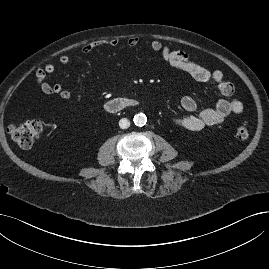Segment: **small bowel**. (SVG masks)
Segmentation results:
<instances>
[{
	"mask_svg": "<svg viewBox=\"0 0 269 269\" xmlns=\"http://www.w3.org/2000/svg\"><path fill=\"white\" fill-rule=\"evenodd\" d=\"M139 44L136 37H130L127 40V45L130 48H135ZM119 45L116 38L94 41L83 46L82 52L89 54L99 46H108L115 48ZM150 48L159 52L164 62L169 66L179 69L193 79L200 82H214L220 93L226 97H230L234 93V85L225 80L224 74L219 70L211 71L197 62L190 59L188 54L181 50H172L169 46L163 44L159 40H153L150 43ZM70 57L66 54L60 57V63L63 66L69 64ZM55 66L52 63L46 64L44 67L37 69L35 74L36 83L43 93L46 95H58L63 99H68L74 96L77 100L83 101L87 97L81 93H73L70 89L61 84H51L47 81L48 76L53 74ZM181 108L186 112H191L196 108V101L192 96H185L180 102ZM244 110L243 103L238 99L223 98L217 101L214 107L205 109L197 115H189L185 117H172L171 121L176 126L190 130L198 131L205 127L221 124L231 114H240Z\"/></svg>",
	"mask_w": 269,
	"mask_h": 269,
	"instance_id": "c3829d8e",
	"label": "small bowel"
}]
</instances>
